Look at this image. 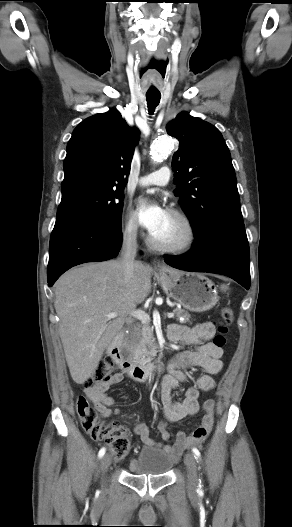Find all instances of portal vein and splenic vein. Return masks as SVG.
I'll return each mask as SVG.
<instances>
[{"mask_svg": "<svg viewBox=\"0 0 292 527\" xmlns=\"http://www.w3.org/2000/svg\"><path fill=\"white\" fill-rule=\"evenodd\" d=\"M130 315L138 320H140L141 322L143 323H149L150 321V317L147 313H145L144 311H141V310H133ZM117 317V313H110L107 315V318L108 319H112V318H115ZM167 317L168 318H173L174 317V313H167Z\"/></svg>", "mask_w": 292, "mask_h": 527, "instance_id": "1", "label": "portal vein and splenic vein"}]
</instances>
